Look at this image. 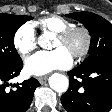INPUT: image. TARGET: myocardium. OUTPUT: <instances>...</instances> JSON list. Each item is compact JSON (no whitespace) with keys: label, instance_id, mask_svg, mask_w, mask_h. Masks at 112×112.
Here are the masks:
<instances>
[{"label":"myocardium","instance_id":"myocardium-1","mask_svg":"<svg viewBox=\"0 0 112 112\" xmlns=\"http://www.w3.org/2000/svg\"><path fill=\"white\" fill-rule=\"evenodd\" d=\"M77 35H81L83 37L84 43L83 46L74 54V57L77 59H81L89 53L92 45V34L87 27L74 26L61 33H58L57 38L63 42H68Z\"/></svg>","mask_w":112,"mask_h":112}]
</instances>
